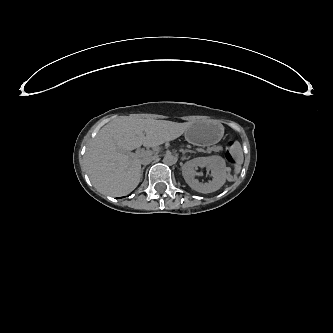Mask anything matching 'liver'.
Listing matches in <instances>:
<instances>
[{
    "label": "liver",
    "instance_id": "6515ba94",
    "mask_svg": "<svg viewBox=\"0 0 333 333\" xmlns=\"http://www.w3.org/2000/svg\"><path fill=\"white\" fill-rule=\"evenodd\" d=\"M179 133L144 134L113 137L101 134L91 141L86 151L88 175L94 186L110 194H124L134 190L140 182L141 162L132 151L140 146L155 147L176 139Z\"/></svg>",
    "mask_w": 333,
    "mask_h": 333
}]
</instances>
